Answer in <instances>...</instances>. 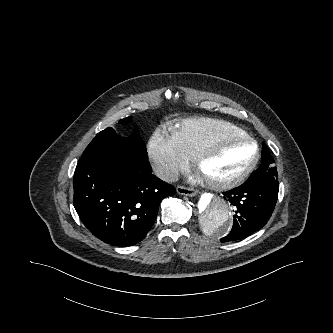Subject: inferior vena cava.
Wrapping results in <instances>:
<instances>
[{
    "instance_id": "obj_1",
    "label": "inferior vena cava",
    "mask_w": 333,
    "mask_h": 333,
    "mask_svg": "<svg viewBox=\"0 0 333 333\" xmlns=\"http://www.w3.org/2000/svg\"><path fill=\"white\" fill-rule=\"evenodd\" d=\"M157 177L166 182H175L178 180V171L169 167H157L155 169Z\"/></svg>"
}]
</instances>
